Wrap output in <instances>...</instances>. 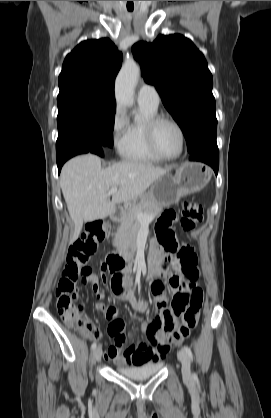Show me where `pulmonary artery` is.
Listing matches in <instances>:
<instances>
[{
    "mask_svg": "<svg viewBox=\"0 0 271 418\" xmlns=\"http://www.w3.org/2000/svg\"><path fill=\"white\" fill-rule=\"evenodd\" d=\"M137 101L139 104L158 108L160 103V96L153 86L144 84L138 90Z\"/></svg>",
    "mask_w": 271,
    "mask_h": 418,
    "instance_id": "1",
    "label": "pulmonary artery"
}]
</instances>
